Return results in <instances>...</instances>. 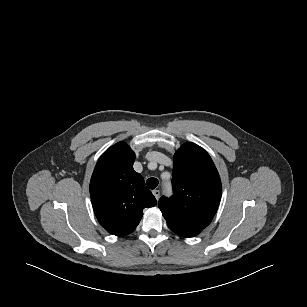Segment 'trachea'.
<instances>
[{"instance_id":"3493384b","label":"trachea","mask_w":307,"mask_h":307,"mask_svg":"<svg viewBox=\"0 0 307 307\" xmlns=\"http://www.w3.org/2000/svg\"><path fill=\"white\" fill-rule=\"evenodd\" d=\"M158 179H156V178H149L148 180H147V186L150 188V189H155L156 187H157V185H158Z\"/></svg>"}]
</instances>
